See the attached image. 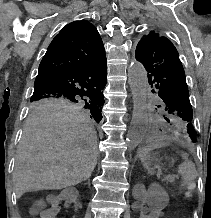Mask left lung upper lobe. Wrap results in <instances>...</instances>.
<instances>
[{
	"label": "left lung upper lobe",
	"mask_w": 211,
	"mask_h": 218,
	"mask_svg": "<svg viewBox=\"0 0 211 218\" xmlns=\"http://www.w3.org/2000/svg\"><path fill=\"white\" fill-rule=\"evenodd\" d=\"M135 57L147 71L152 93L161 98L157 114L171 133L189 144L196 142L185 72L172 42L152 31L139 41Z\"/></svg>",
	"instance_id": "obj_1"
}]
</instances>
